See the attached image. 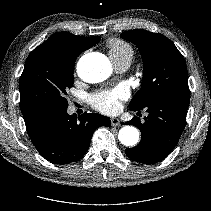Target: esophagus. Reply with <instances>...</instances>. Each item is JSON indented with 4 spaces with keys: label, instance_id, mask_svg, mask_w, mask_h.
<instances>
[{
    "label": "esophagus",
    "instance_id": "34e87169",
    "mask_svg": "<svg viewBox=\"0 0 211 211\" xmlns=\"http://www.w3.org/2000/svg\"><path fill=\"white\" fill-rule=\"evenodd\" d=\"M112 126H120V120L118 118H111Z\"/></svg>",
    "mask_w": 211,
    "mask_h": 211
}]
</instances>
